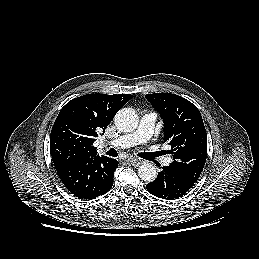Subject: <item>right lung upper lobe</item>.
Masks as SVG:
<instances>
[{
  "label": "right lung upper lobe",
  "instance_id": "obj_1",
  "mask_svg": "<svg viewBox=\"0 0 259 259\" xmlns=\"http://www.w3.org/2000/svg\"><path fill=\"white\" fill-rule=\"evenodd\" d=\"M133 96L87 94L69 101L59 112L50 134V153L56 169L76 160L98 157L93 146L115 114Z\"/></svg>",
  "mask_w": 259,
  "mask_h": 259
}]
</instances>
